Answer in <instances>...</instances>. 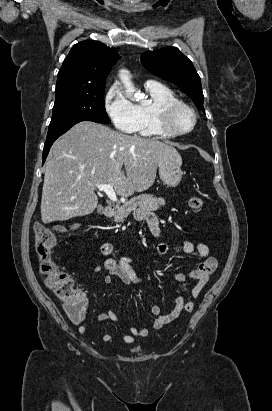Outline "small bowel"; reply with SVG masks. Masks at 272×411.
<instances>
[{
    "label": "small bowel",
    "instance_id": "small-bowel-1",
    "mask_svg": "<svg viewBox=\"0 0 272 411\" xmlns=\"http://www.w3.org/2000/svg\"><path fill=\"white\" fill-rule=\"evenodd\" d=\"M136 217L138 220L146 222L154 237L159 238L161 236L158 220L151 211L148 209H140L137 211ZM168 250L169 247L165 243H159L156 247V253L159 256L165 255ZM182 250L185 254L193 255L198 262V265L187 273H177L175 278L181 283L187 278L196 281V284L192 289V296L196 298L208 283L209 277L216 270L217 260L214 257L209 256V248L204 243L195 245L190 241H185L182 245ZM101 253L105 259L102 265L95 266L93 271L96 273L105 272L103 277L104 283H111L112 278L117 276L126 284H140V278L136 275L132 267L133 259L131 257L127 256L118 259L114 246L110 242H105L101 245ZM193 309L194 303L192 301H186L183 296H178L176 298L174 308L166 314L162 313L160 306L154 305L150 310L151 314L155 317L151 323V328L158 330L177 318L182 311L185 310L190 312ZM97 318L99 321L119 322L118 315L112 309H108L106 312L98 314ZM78 332L81 335H85L87 333V328L85 326H80ZM148 332V329L144 327H131L128 333L123 335L122 339L127 344H134L137 338L146 337ZM102 340L104 342H110L112 340L111 334H104Z\"/></svg>",
    "mask_w": 272,
    "mask_h": 411
}]
</instances>
